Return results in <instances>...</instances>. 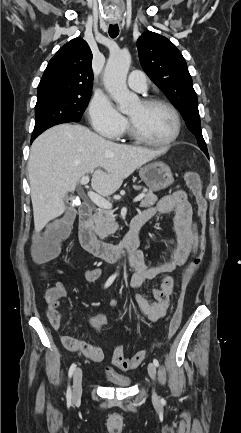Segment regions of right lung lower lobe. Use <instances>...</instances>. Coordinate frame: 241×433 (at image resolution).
<instances>
[{"label": "right lung lower lobe", "instance_id": "right-lung-lower-lobe-1", "mask_svg": "<svg viewBox=\"0 0 241 433\" xmlns=\"http://www.w3.org/2000/svg\"><path fill=\"white\" fill-rule=\"evenodd\" d=\"M35 138H36V137H32V138H31V142H32Z\"/></svg>", "mask_w": 241, "mask_h": 433}]
</instances>
